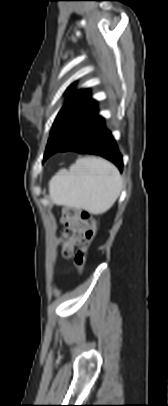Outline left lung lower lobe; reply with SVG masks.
I'll use <instances>...</instances> for the list:
<instances>
[{
    "mask_svg": "<svg viewBox=\"0 0 168 406\" xmlns=\"http://www.w3.org/2000/svg\"><path fill=\"white\" fill-rule=\"evenodd\" d=\"M57 151L100 155L113 162L120 171L123 169L122 156L110 132L105 128L103 118L98 116L97 108L90 115L82 130L70 141L57 147L51 154ZM47 157L45 156L44 160Z\"/></svg>",
    "mask_w": 168,
    "mask_h": 406,
    "instance_id": "1",
    "label": "left lung lower lobe"
}]
</instances>
